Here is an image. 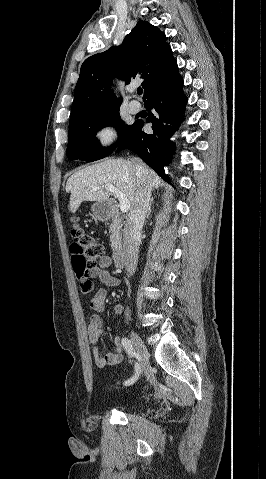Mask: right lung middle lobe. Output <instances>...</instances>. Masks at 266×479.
<instances>
[{"instance_id":"dd1d6c3e","label":"right lung middle lobe","mask_w":266,"mask_h":479,"mask_svg":"<svg viewBox=\"0 0 266 479\" xmlns=\"http://www.w3.org/2000/svg\"><path fill=\"white\" fill-rule=\"evenodd\" d=\"M106 126H113L118 131L119 139L116 144L105 148L97 142V131ZM131 126H124L119 115V108L103 113L70 121L67 156L70 160H84L87 162L102 159L110 154L127 135Z\"/></svg>"}]
</instances>
